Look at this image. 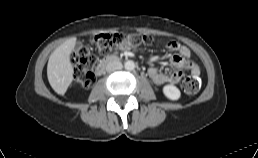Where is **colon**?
<instances>
[{"instance_id": "1", "label": "colon", "mask_w": 258, "mask_h": 158, "mask_svg": "<svg viewBox=\"0 0 258 158\" xmlns=\"http://www.w3.org/2000/svg\"><path fill=\"white\" fill-rule=\"evenodd\" d=\"M154 38L149 35L122 34V33H102L95 35L91 39L94 49L103 55L111 53L116 49L137 48L151 45ZM71 63L74 66V80L77 85L87 88L94 83L92 69L96 63V58L91 54L86 46L76 49L71 55ZM201 87L198 76L192 75L182 81V89L187 94H195Z\"/></svg>"}]
</instances>
